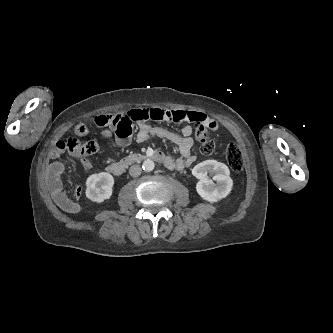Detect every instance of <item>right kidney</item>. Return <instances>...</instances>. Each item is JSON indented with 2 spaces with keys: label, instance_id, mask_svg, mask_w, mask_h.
Masks as SVG:
<instances>
[{
  "label": "right kidney",
  "instance_id": "obj_1",
  "mask_svg": "<svg viewBox=\"0 0 333 333\" xmlns=\"http://www.w3.org/2000/svg\"><path fill=\"white\" fill-rule=\"evenodd\" d=\"M113 185L114 178L111 174L106 172L92 174L86 180V196L91 201L101 203L111 197Z\"/></svg>",
  "mask_w": 333,
  "mask_h": 333
}]
</instances>
